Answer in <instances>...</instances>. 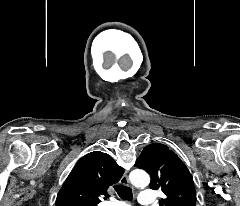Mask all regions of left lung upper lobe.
<instances>
[{"label":"left lung upper lobe","mask_w":240,"mask_h":206,"mask_svg":"<svg viewBox=\"0 0 240 206\" xmlns=\"http://www.w3.org/2000/svg\"><path fill=\"white\" fill-rule=\"evenodd\" d=\"M135 167L151 176L150 187L161 190L166 198L161 206H196L193 178L181 159L164 144L147 145Z\"/></svg>","instance_id":"1"}]
</instances>
